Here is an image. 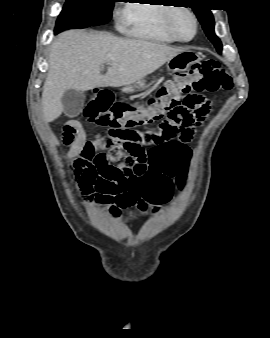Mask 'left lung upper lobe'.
I'll use <instances>...</instances> for the list:
<instances>
[{"label": "left lung upper lobe", "mask_w": 270, "mask_h": 338, "mask_svg": "<svg viewBox=\"0 0 270 338\" xmlns=\"http://www.w3.org/2000/svg\"><path fill=\"white\" fill-rule=\"evenodd\" d=\"M194 7H191L198 17V20L202 24V27L207 35V37L210 39V41L214 44L217 51L221 53L222 51V44L220 39L215 35L214 32V18L213 15L206 6L209 1L207 0H196Z\"/></svg>", "instance_id": "left-lung-upper-lobe-1"}]
</instances>
